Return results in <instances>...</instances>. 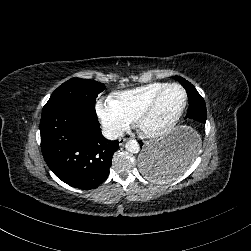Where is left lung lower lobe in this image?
<instances>
[{"instance_id":"obj_1","label":"left lung lower lobe","mask_w":251,"mask_h":251,"mask_svg":"<svg viewBox=\"0 0 251 251\" xmlns=\"http://www.w3.org/2000/svg\"><path fill=\"white\" fill-rule=\"evenodd\" d=\"M186 128L176 137L146 147L139 158L140 172L154 183L171 181L184 173L196 160L201 146L202 128L206 122L203 98L188 93Z\"/></svg>"}]
</instances>
